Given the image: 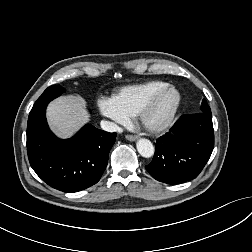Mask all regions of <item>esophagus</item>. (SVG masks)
<instances>
[{
	"mask_svg": "<svg viewBox=\"0 0 252 252\" xmlns=\"http://www.w3.org/2000/svg\"><path fill=\"white\" fill-rule=\"evenodd\" d=\"M126 139H127L128 141L133 142V141H136V140L138 139V136H136V135H127V136H126Z\"/></svg>",
	"mask_w": 252,
	"mask_h": 252,
	"instance_id": "34e87169",
	"label": "esophagus"
}]
</instances>
